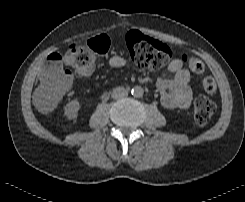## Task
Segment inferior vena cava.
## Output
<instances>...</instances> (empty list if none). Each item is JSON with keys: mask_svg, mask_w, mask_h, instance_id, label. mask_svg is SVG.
Wrapping results in <instances>:
<instances>
[{"mask_svg": "<svg viewBox=\"0 0 245 202\" xmlns=\"http://www.w3.org/2000/svg\"><path fill=\"white\" fill-rule=\"evenodd\" d=\"M127 95H128V92L123 87H117V88L113 89V91H112V98H114V99L122 98V97H125Z\"/></svg>", "mask_w": 245, "mask_h": 202, "instance_id": "602c4592", "label": "inferior vena cava"}]
</instances>
